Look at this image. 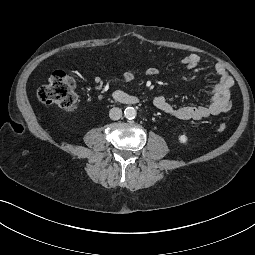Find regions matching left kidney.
<instances>
[{"label":"left kidney","mask_w":255,"mask_h":255,"mask_svg":"<svg viewBox=\"0 0 255 255\" xmlns=\"http://www.w3.org/2000/svg\"><path fill=\"white\" fill-rule=\"evenodd\" d=\"M178 139L181 143H186L188 141V138L185 134L180 135Z\"/></svg>","instance_id":"obj_1"}]
</instances>
